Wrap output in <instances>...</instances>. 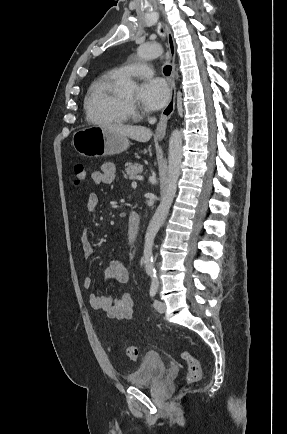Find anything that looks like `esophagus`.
<instances>
[{
  "mask_svg": "<svg viewBox=\"0 0 287 434\" xmlns=\"http://www.w3.org/2000/svg\"><path fill=\"white\" fill-rule=\"evenodd\" d=\"M167 39H168V47H169V62L172 66L171 76L169 79L170 84V99L163 109L159 123L156 128V136L158 138H163L166 132L167 121L173 114L175 110V100H176V87H175V56H176V45L173 34L170 28L165 25Z\"/></svg>",
  "mask_w": 287,
  "mask_h": 434,
  "instance_id": "34e87169",
  "label": "esophagus"
}]
</instances>
